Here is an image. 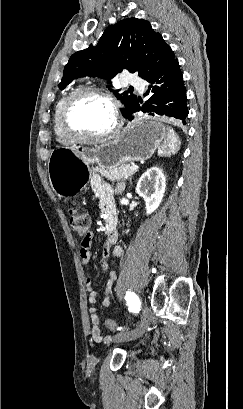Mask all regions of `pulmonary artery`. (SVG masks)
<instances>
[{
  "instance_id": "1",
  "label": "pulmonary artery",
  "mask_w": 243,
  "mask_h": 409,
  "mask_svg": "<svg viewBox=\"0 0 243 409\" xmlns=\"http://www.w3.org/2000/svg\"><path fill=\"white\" fill-rule=\"evenodd\" d=\"M126 84L134 86V87L138 88L141 91H143V89H144V83H143L142 79H140L135 74H129L126 77Z\"/></svg>"
}]
</instances>
